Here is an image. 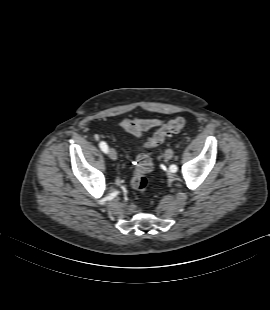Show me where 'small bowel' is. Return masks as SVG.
I'll list each match as a JSON object with an SVG mask.
<instances>
[{"label": "small bowel", "mask_w": 270, "mask_h": 310, "mask_svg": "<svg viewBox=\"0 0 270 310\" xmlns=\"http://www.w3.org/2000/svg\"><path fill=\"white\" fill-rule=\"evenodd\" d=\"M119 125L134 137L140 138L143 133L163 126L164 120L159 118H124L119 122Z\"/></svg>", "instance_id": "1"}]
</instances>
